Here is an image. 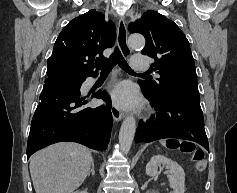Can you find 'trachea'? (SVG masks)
<instances>
[{
  "label": "trachea",
  "mask_w": 237,
  "mask_h": 193,
  "mask_svg": "<svg viewBox=\"0 0 237 193\" xmlns=\"http://www.w3.org/2000/svg\"><path fill=\"white\" fill-rule=\"evenodd\" d=\"M116 64H118L124 71L130 74H135V72L129 67L118 48H115L108 61L105 63H97L95 67L101 70V74H108ZM142 75L150 76V73L146 72Z\"/></svg>",
  "instance_id": "1"
}]
</instances>
